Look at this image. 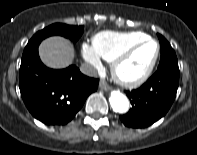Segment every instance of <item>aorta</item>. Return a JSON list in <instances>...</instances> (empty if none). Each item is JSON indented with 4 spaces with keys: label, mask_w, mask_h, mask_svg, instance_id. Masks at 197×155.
<instances>
[{
    "label": "aorta",
    "mask_w": 197,
    "mask_h": 155,
    "mask_svg": "<svg viewBox=\"0 0 197 155\" xmlns=\"http://www.w3.org/2000/svg\"><path fill=\"white\" fill-rule=\"evenodd\" d=\"M110 105L116 113H125L129 109V101L127 97L119 91L111 92Z\"/></svg>",
    "instance_id": "1"
}]
</instances>
